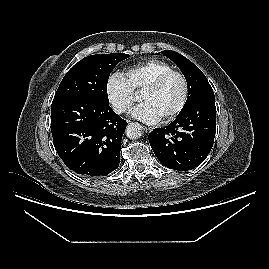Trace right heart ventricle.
Instances as JSON below:
<instances>
[{
    "instance_id": "1",
    "label": "right heart ventricle",
    "mask_w": 269,
    "mask_h": 269,
    "mask_svg": "<svg viewBox=\"0 0 269 269\" xmlns=\"http://www.w3.org/2000/svg\"><path fill=\"white\" fill-rule=\"evenodd\" d=\"M171 70L173 67L169 63L158 59H149L130 67L126 71V78L133 91H139L160 75Z\"/></svg>"
}]
</instances>
